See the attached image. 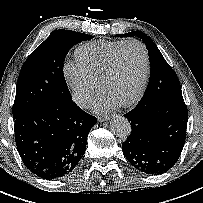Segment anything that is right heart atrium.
<instances>
[{
	"label": "right heart atrium",
	"instance_id": "obj_1",
	"mask_svg": "<svg viewBox=\"0 0 203 203\" xmlns=\"http://www.w3.org/2000/svg\"><path fill=\"white\" fill-rule=\"evenodd\" d=\"M63 72L75 102L81 107H86L97 91V81L77 62H66Z\"/></svg>",
	"mask_w": 203,
	"mask_h": 203
}]
</instances>
